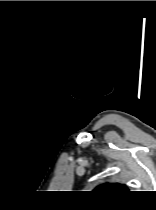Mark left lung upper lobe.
I'll return each mask as SVG.
<instances>
[{
  "label": "left lung upper lobe",
  "mask_w": 156,
  "mask_h": 210,
  "mask_svg": "<svg viewBox=\"0 0 156 210\" xmlns=\"http://www.w3.org/2000/svg\"><path fill=\"white\" fill-rule=\"evenodd\" d=\"M95 191L98 192H108V193H125L128 192L127 187L123 184H102L100 186H98Z\"/></svg>",
  "instance_id": "obj_1"
}]
</instances>
